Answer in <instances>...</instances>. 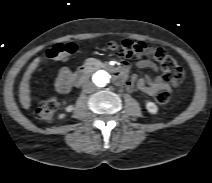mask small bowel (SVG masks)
<instances>
[{"label":"small bowel","instance_id":"1","mask_svg":"<svg viewBox=\"0 0 212 183\" xmlns=\"http://www.w3.org/2000/svg\"><path fill=\"white\" fill-rule=\"evenodd\" d=\"M136 66L140 69H150L154 72L157 71V66L153 62L149 60H139L136 63ZM128 69V64L123 63L120 71L122 73L123 79L119 84H125L126 88L129 91H133L135 88L141 90L142 92L148 94V95H155L160 90H171V86L164 82L162 77L156 76L151 77L149 75H146L144 77L134 78L133 80L126 81V72ZM73 79L71 71L68 68H62L57 76L55 86L56 90L60 94H67L72 87Z\"/></svg>","mask_w":212,"mask_h":183}]
</instances>
